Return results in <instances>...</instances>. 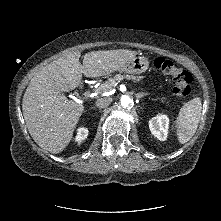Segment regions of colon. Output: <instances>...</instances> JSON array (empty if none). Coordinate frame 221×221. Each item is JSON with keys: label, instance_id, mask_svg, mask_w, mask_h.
<instances>
[{"label": "colon", "instance_id": "colon-1", "mask_svg": "<svg viewBox=\"0 0 221 221\" xmlns=\"http://www.w3.org/2000/svg\"><path fill=\"white\" fill-rule=\"evenodd\" d=\"M153 65L157 70L171 79L174 95L178 97H186L189 95L192 76L188 71L178 68L172 61L163 57H157Z\"/></svg>", "mask_w": 221, "mask_h": 221}]
</instances>
